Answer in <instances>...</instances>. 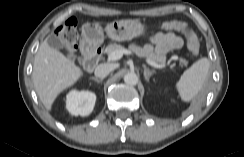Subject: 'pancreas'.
<instances>
[{
    "label": "pancreas",
    "mask_w": 244,
    "mask_h": 157,
    "mask_svg": "<svg viewBox=\"0 0 244 157\" xmlns=\"http://www.w3.org/2000/svg\"><path fill=\"white\" fill-rule=\"evenodd\" d=\"M121 50H125V47H123L122 45L114 43V44H109L106 47L105 52L108 55H110L114 51H121ZM136 51L138 53L143 52L142 49H137ZM143 55L145 57L149 58L150 60L158 63V64H165V62H166V55H163V54L155 53L153 51H148V52L143 53ZM181 63L183 65H187L188 62L186 60H184V59H181Z\"/></svg>",
    "instance_id": "1"
}]
</instances>
